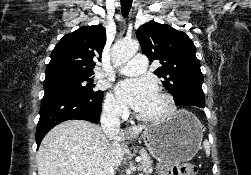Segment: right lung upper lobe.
<instances>
[{"mask_svg":"<svg viewBox=\"0 0 251 175\" xmlns=\"http://www.w3.org/2000/svg\"><path fill=\"white\" fill-rule=\"evenodd\" d=\"M106 43L102 25L84 26L64 35L51 53L46 77L92 76L95 60H101Z\"/></svg>","mask_w":251,"mask_h":175,"instance_id":"right-lung-upper-lobe-1","label":"right lung upper lobe"}]
</instances>
